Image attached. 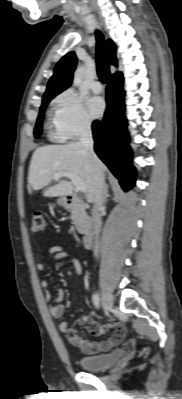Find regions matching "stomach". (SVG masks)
<instances>
[{"mask_svg": "<svg viewBox=\"0 0 182 399\" xmlns=\"http://www.w3.org/2000/svg\"><path fill=\"white\" fill-rule=\"evenodd\" d=\"M57 203H58L60 206H66V205H67V200H66L65 197H62V198H60V199L57 200Z\"/></svg>", "mask_w": 182, "mask_h": 399, "instance_id": "stomach-1", "label": "stomach"}]
</instances>
